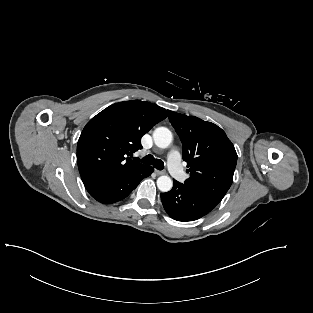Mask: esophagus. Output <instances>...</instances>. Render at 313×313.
I'll use <instances>...</instances> for the list:
<instances>
[{
    "instance_id": "obj_1",
    "label": "esophagus",
    "mask_w": 313,
    "mask_h": 313,
    "mask_svg": "<svg viewBox=\"0 0 313 313\" xmlns=\"http://www.w3.org/2000/svg\"><path fill=\"white\" fill-rule=\"evenodd\" d=\"M155 173L157 175H164V174H166V172L164 170H155Z\"/></svg>"
}]
</instances>
